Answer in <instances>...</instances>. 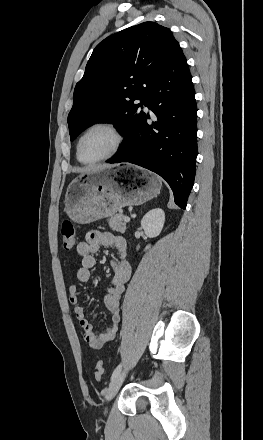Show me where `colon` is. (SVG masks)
Masks as SVG:
<instances>
[{
	"instance_id": "5ec220e1",
	"label": "colon",
	"mask_w": 263,
	"mask_h": 440,
	"mask_svg": "<svg viewBox=\"0 0 263 440\" xmlns=\"http://www.w3.org/2000/svg\"><path fill=\"white\" fill-rule=\"evenodd\" d=\"M61 238L64 249L72 250L77 244V230L75 225L66 220L61 227ZM94 376L97 381H101L103 378V363L100 361L96 364L94 369Z\"/></svg>"
}]
</instances>
